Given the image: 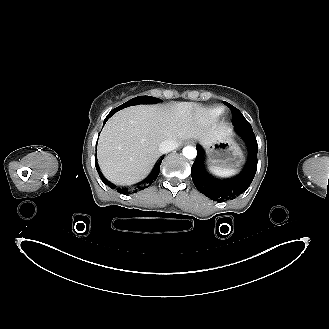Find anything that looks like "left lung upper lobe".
<instances>
[{
	"label": "left lung upper lobe",
	"mask_w": 329,
	"mask_h": 329,
	"mask_svg": "<svg viewBox=\"0 0 329 329\" xmlns=\"http://www.w3.org/2000/svg\"><path fill=\"white\" fill-rule=\"evenodd\" d=\"M225 104L231 109L232 111V122L234 125H239V124H244V123H248V121L244 118V116L242 115V113L235 108L234 106H232L231 104L225 102Z\"/></svg>",
	"instance_id": "1"
}]
</instances>
